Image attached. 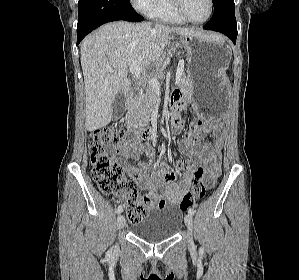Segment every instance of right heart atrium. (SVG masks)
Listing matches in <instances>:
<instances>
[{
	"mask_svg": "<svg viewBox=\"0 0 299 280\" xmlns=\"http://www.w3.org/2000/svg\"><path fill=\"white\" fill-rule=\"evenodd\" d=\"M131 5L139 12L148 14L156 0H129Z\"/></svg>",
	"mask_w": 299,
	"mask_h": 280,
	"instance_id": "1",
	"label": "right heart atrium"
}]
</instances>
